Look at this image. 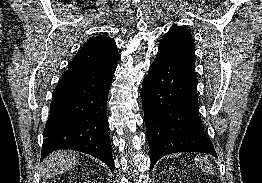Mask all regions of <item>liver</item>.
I'll return each instance as SVG.
<instances>
[{"mask_svg":"<svg viewBox=\"0 0 262 183\" xmlns=\"http://www.w3.org/2000/svg\"><path fill=\"white\" fill-rule=\"evenodd\" d=\"M78 162V154L69 150H60L50 154L43 163L41 174L50 178L71 169Z\"/></svg>","mask_w":262,"mask_h":183,"instance_id":"6515ba94","label":"liver"}]
</instances>
